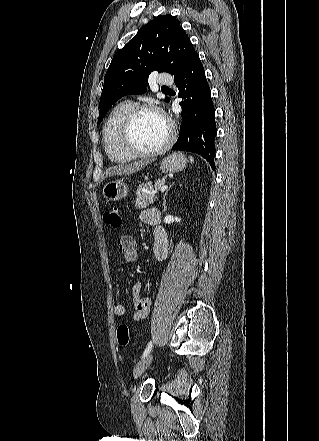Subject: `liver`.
<instances>
[{"mask_svg":"<svg viewBox=\"0 0 319 441\" xmlns=\"http://www.w3.org/2000/svg\"><path fill=\"white\" fill-rule=\"evenodd\" d=\"M151 161L152 160H142L134 163H122L107 169L105 176L133 174L147 166Z\"/></svg>","mask_w":319,"mask_h":441,"instance_id":"6515ba94","label":"liver"}]
</instances>
